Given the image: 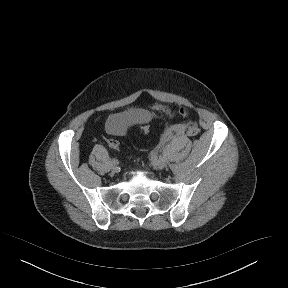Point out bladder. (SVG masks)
Returning <instances> with one entry per match:
<instances>
[{
  "mask_svg": "<svg viewBox=\"0 0 288 288\" xmlns=\"http://www.w3.org/2000/svg\"><path fill=\"white\" fill-rule=\"evenodd\" d=\"M152 119V112L144 109H129L126 112L113 116L108 121V126L113 131H122L129 125H145Z\"/></svg>",
  "mask_w": 288,
  "mask_h": 288,
  "instance_id": "31cf9c89",
  "label": "bladder"
}]
</instances>
